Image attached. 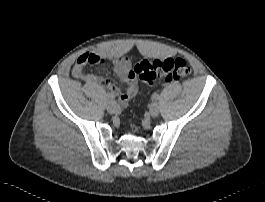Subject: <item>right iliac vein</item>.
Wrapping results in <instances>:
<instances>
[{
  "label": "right iliac vein",
  "instance_id": "63e3f726",
  "mask_svg": "<svg viewBox=\"0 0 265 202\" xmlns=\"http://www.w3.org/2000/svg\"><path fill=\"white\" fill-rule=\"evenodd\" d=\"M118 110V104L115 101H110L107 105V111L110 114H114Z\"/></svg>",
  "mask_w": 265,
  "mask_h": 202
}]
</instances>
